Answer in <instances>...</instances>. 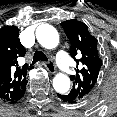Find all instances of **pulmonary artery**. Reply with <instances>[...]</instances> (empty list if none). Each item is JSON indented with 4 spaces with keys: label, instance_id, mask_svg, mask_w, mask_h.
<instances>
[{
    "label": "pulmonary artery",
    "instance_id": "obj_1",
    "mask_svg": "<svg viewBox=\"0 0 117 117\" xmlns=\"http://www.w3.org/2000/svg\"><path fill=\"white\" fill-rule=\"evenodd\" d=\"M57 61L59 63L61 70L64 72H68L70 65H69L68 59L66 57V54L63 50H60L57 53Z\"/></svg>",
    "mask_w": 117,
    "mask_h": 117
}]
</instances>
